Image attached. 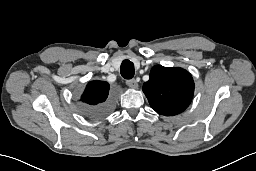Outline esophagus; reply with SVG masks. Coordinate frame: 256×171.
I'll return each mask as SVG.
<instances>
[{
  "mask_svg": "<svg viewBox=\"0 0 256 171\" xmlns=\"http://www.w3.org/2000/svg\"><path fill=\"white\" fill-rule=\"evenodd\" d=\"M126 84L131 88H138V83L135 79L127 80Z\"/></svg>",
  "mask_w": 256,
  "mask_h": 171,
  "instance_id": "34e87169",
  "label": "esophagus"
}]
</instances>
